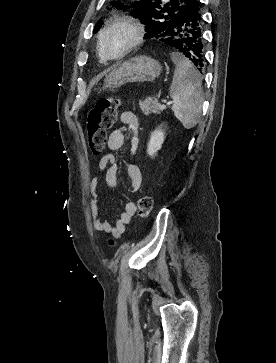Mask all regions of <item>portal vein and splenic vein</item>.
Returning a JSON list of instances; mask_svg holds the SVG:
<instances>
[{
	"mask_svg": "<svg viewBox=\"0 0 276 363\" xmlns=\"http://www.w3.org/2000/svg\"><path fill=\"white\" fill-rule=\"evenodd\" d=\"M172 102H164L162 105H161V108L162 109H165L167 107V105L171 104Z\"/></svg>",
	"mask_w": 276,
	"mask_h": 363,
	"instance_id": "18ae733b",
	"label": "portal vein and splenic vein"
}]
</instances>
